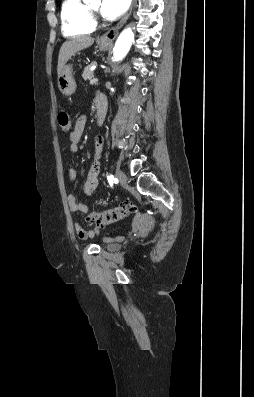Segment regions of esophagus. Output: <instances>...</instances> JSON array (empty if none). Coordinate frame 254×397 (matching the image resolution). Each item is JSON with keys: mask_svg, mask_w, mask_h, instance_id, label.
Listing matches in <instances>:
<instances>
[{"mask_svg": "<svg viewBox=\"0 0 254 397\" xmlns=\"http://www.w3.org/2000/svg\"><path fill=\"white\" fill-rule=\"evenodd\" d=\"M135 0L132 1V4L127 11V13L124 15V17L118 22V24L112 28H110L106 33H104L100 40L105 43H111L113 40L118 36L119 30L124 26L126 23L127 19L129 18L133 6H134Z\"/></svg>", "mask_w": 254, "mask_h": 397, "instance_id": "esophagus-1", "label": "esophagus"}]
</instances>
